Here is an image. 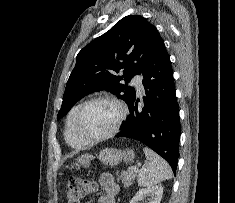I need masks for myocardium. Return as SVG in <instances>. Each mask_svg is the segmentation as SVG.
<instances>
[{
    "mask_svg": "<svg viewBox=\"0 0 235 203\" xmlns=\"http://www.w3.org/2000/svg\"><path fill=\"white\" fill-rule=\"evenodd\" d=\"M98 101H107V102H111V103L115 104L119 109V116H118V119H117L114 127L109 132H107L104 135L98 136V137L90 138V137L83 135L80 132L78 123H79V119H80V116H81L83 110L88 105H90L94 102H98ZM127 115H128L127 106L120 99L113 97V96H108V95L95 96V97H92V98L84 101L77 108V110L74 114V117H73V131H74L75 135L85 144L99 143V142L107 140V139L113 137L115 134H117L119 132L121 126L123 125L124 121L126 120Z\"/></svg>",
    "mask_w": 235,
    "mask_h": 203,
    "instance_id": "1",
    "label": "myocardium"
}]
</instances>
